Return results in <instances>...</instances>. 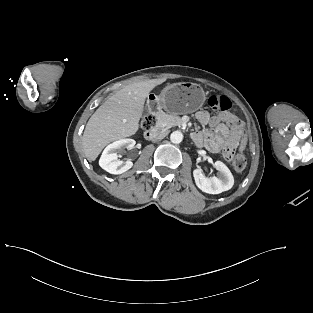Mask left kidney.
<instances>
[{"instance_id": "5707ae66", "label": "left kidney", "mask_w": 313, "mask_h": 313, "mask_svg": "<svg viewBox=\"0 0 313 313\" xmlns=\"http://www.w3.org/2000/svg\"><path fill=\"white\" fill-rule=\"evenodd\" d=\"M214 167L219 171L218 177H205L201 169L193 171L197 187L209 194H219L231 189L234 185V178L228 167L221 161H216Z\"/></svg>"}]
</instances>
